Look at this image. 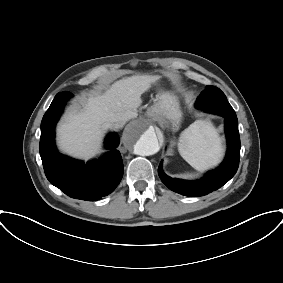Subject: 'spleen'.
I'll use <instances>...</instances> for the list:
<instances>
[{
	"label": "spleen",
	"mask_w": 283,
	"mask_h": 283,
	"mask_svg": "<svg viewBox=\"0 0 283 283\" xmlns=\"http://www.w3.org/2000/svg\"><path fill=\"white\" fill-rule=\"evenodd\" d=\"M178 150L193 168L204 171L217 165L223 155L221 138L210 121L197 120L179 138Z\"/></svg>",
	"instance_id": "spleen-1"
}]
</instances>
